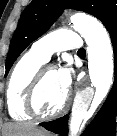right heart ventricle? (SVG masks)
Segmentation results:
<instances>
[{
	"label": "right heart ventricle",
	"instance_id": "obj_1",
	"mask_svg": "<svg viewBox=\"0 0 117 136\" xmlns=\"http://www.w3.org/2000/svg\"><path fill=\"white\" fill-rule=\"evenodd\" d=\"M45 61L31 50L15 64L6 87V103L10 116L14 120H30L25 110L26 92L34 76Z\"/></svg>",
	"mask_w": 117,
	"mask_h": 136
}]
</instances>
